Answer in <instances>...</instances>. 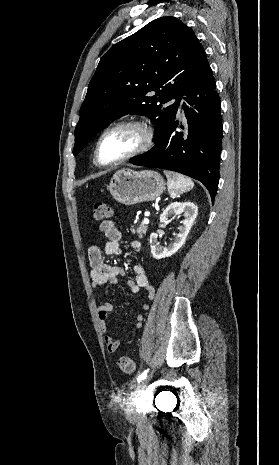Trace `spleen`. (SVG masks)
I'll return each instance as SVG.
<instances>
[{
    "mask_svg": "<svg viewBox=\"0 0 279 465\" xmlns=\"http://www.w3.org/2000/svg\"><path fill=\"white\" fill-rule=\"evenodd\" d=\"M164 174L167 177L168 191L173 197L189 191L194 187L193 181L188 177L169 171H164Z\"/></svg>",
    "mask_w": 279,
    "mask_h": 465,
    "instance_id": "spleen-1",
    "label": "spleen"
}]
</instances>
